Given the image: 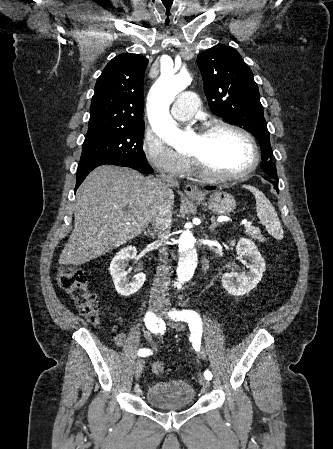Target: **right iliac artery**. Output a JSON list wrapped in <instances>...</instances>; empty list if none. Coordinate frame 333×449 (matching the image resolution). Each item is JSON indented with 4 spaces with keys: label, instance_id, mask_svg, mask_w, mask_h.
Listing matches in <instances>:
<instances>
[{
    "label": "right iliac artery",
    "instance_id": "right-iliac-artery-1",
    "mask_svg": "<svg viewBox=\"0 0 333 449\" xmlns=\"http://www.w3.org/2000/svg\"><path fill=\"white\" fill-rule=\"evenodd\" d=\"M145 324L147 329L154 333V334H158L159 332H163L164 330V324L163 321L161 319H159L154 313L152 312H148L145 316ZM152 352L149 349H139L138 351V355L139 356H149L151 355Z\"/></svg>",
    "mask_w": 333,
    "mask_h": 449
}]
</instances>
